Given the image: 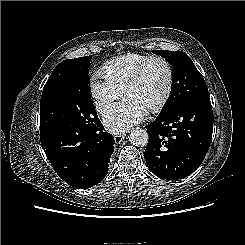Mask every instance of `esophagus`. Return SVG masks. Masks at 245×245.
Returning <instances> with one entry per match:
<instances>
[{
	"mask_svg": "<svg viewBox=\"0 0 245 245\" xmlns=\"http://www.w3.org/2000/svg\"><path fill=\"white\" fill-rule=\"evenodd\" d=\"M125 137V134H115L114 135V140H115V143H120Z\"/></svg>",
	"mask_w": 245,
	"mask_h": 245,
	"instance_id": "34e87169",
	"label": "esophagus"
}]
</instances>
